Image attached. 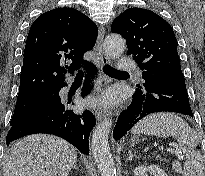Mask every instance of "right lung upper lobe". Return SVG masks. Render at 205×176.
Wrapping results in <instances>:
<instances>
[{
    "mask_svg": "<svg viewBox=\"0 0 205 176\" xmlns=\"http://www.w3.org/2000/svg\"><path fill=\"white\" fill-rule=\"evenodd\" d=\"M97 32L96 24L76 9L58 8L38 17L27 37L17 98L60 88L67 71L88 66L82 55L94 46Z\"/></svg>",
    "mask_w": 205,
    "mask_h": 176,
    "instance_id": "obj_1",
    "label": "right lung upper lobe"
}]
</instances>
